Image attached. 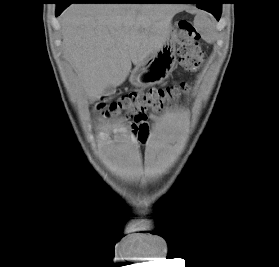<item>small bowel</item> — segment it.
<instances>
[{
  "label": "small bowel",
  "mask_w": 279,
  "mask_h": 267,
  "mask_svg": "<svg viewBox=\"0 0 279 267\" xmlns=\"http://www.w3.org/2000/svg\"><path fill=\"white\" fill-rule=\"evenodd\" d=\"M156 119L157 116L155 114H150L139 120H134L131 123V130L140 141L144 142L148 138L150 121Z\"/></svg>",
  "instance_id": "1"
}]
</instances>
